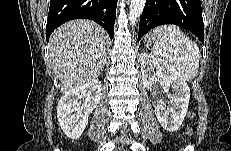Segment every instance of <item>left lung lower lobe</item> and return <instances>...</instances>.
Returning <instances> with one entry per match:
<instances>
[{
	"instance_id": "obj_1",
	"label": "left lung lower lobe",
	"mask_w": 231,
	"mask_h": 151,
	"mask_svg": "<svg viewBox=\"0 0 231 151\" xmlns=\"http://www.w3.org/2000/svg\"><path fill=\"white\" fill-rule=\"evenodd\" d=\"M163 24L185 28L203 43L204 24L200 0H146L139 23L138 41L149 30Z\"/></svg>"
}]
</instances>
